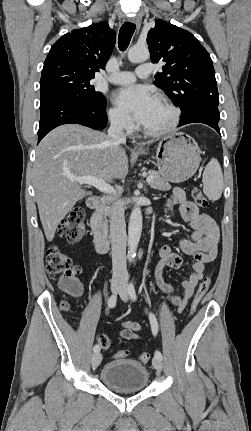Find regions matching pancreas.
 <instances>
[{
    "instance_id": "cf45deb5",
    "label": "pancreas",
    "mask_w": 251,
    "mask_h": 431,
    "mask_svg": "<svg viewBox=\"0 0 251 431\" xmlns=\"http://www.w3.org/2000/svg\"><path fill=\"white\" fill-rule=\"evenodd\" d=\"M147 174L149 176H153L154 178L153 182L149 183L153 189L162 190V191L170 190L171 185L168 183L167 180L161 177V175L157 171L150 170L148 171ZM108 214L109 212L105 209L103 212V215L107 216ZM105 222H107V220H105Z\"/></svg>"
}]
</instances>
